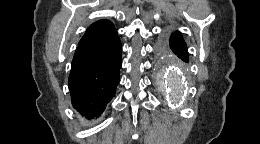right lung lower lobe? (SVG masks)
Masks as SVG:
<instances>
[{
    "mask_svg": "<svg viewBox=\"0 0 260 144\" xmlns=\"http://www.w3.org/2000/svg\"><path fill=\"white\" fill-rule=\"evenodd\" d=\"M121 54L117 34L76 48L68 84L73 107L86 119L98 118L115 96Z\"/></svg>",
    "mask_w": 260,
    "mask_h": 144,
    "instance_id": "obj_1",
    "label": "right lung lower lobe"
}]
</instances>
